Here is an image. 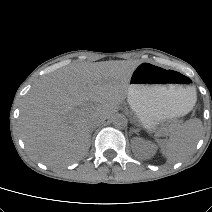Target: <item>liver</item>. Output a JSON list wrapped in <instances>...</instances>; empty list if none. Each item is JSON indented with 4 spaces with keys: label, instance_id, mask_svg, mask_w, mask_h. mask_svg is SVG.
Masks as SVG:
<instances>
[{
    "label": "liver",
    "instance_id": "liver-1",
    "mask_svg": "<svg viewBox=\"0 0 212 212\" xmlns=\"http://www.w3.org/2000/svg\"><path fill=\"white\" fill-rule=\"evenodd\" d=\"M138 64L129 61L75 63L50 74L26 95L19 131L29 154L48 165H65L90 148L91 116L113 115L128 97L129 81ZM92 102L83 110L78 106Z\"/></svg>",
    "mask_w": 212,
    "mask_h": 212
}]
</instances>
